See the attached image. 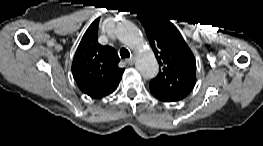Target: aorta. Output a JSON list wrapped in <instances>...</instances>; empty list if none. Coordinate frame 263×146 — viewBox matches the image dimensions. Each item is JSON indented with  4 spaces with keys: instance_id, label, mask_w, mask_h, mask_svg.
Wrapping results in <instances>:
<instances>
[{
    "instance_id": "1",
    "label": "aorta",
    "mask_w": 263,
    "mask_h": 146,
    "mask_svg": "<svg viewBox=\"0 0 263 146\" xmlns=\"http://www.w3.org/2000/svg\"><path fill=\"white\" fill-rule=\"evenodd\" d=\"M120 40L137 52L136 68L147 79L158 73V63L153 51L145 44L139 29L132 24H125L119 30Z\"/></svg>"
}]
</instances>
